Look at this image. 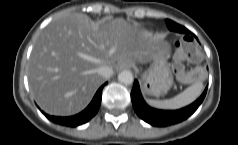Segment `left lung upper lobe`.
<instances>
[{
	"mask_svg": "<svg viewBox=\"0 0 238 145\" xmlns=\"http://www.w3.org/2000/svg\"><path fill=\"white\" fill-rule=\"evenodd\" d=\"M166 22H167L168 28H169L170 30H174V27L176 26V25L174 24L175 22H173V21H171V20H166Z\"/></svg>",
	"mask_w": 238,
	"mask_h": 145,
	"instance_id": "obj_1",
	"label": "left lung upper lobe"
}]
</instances>
